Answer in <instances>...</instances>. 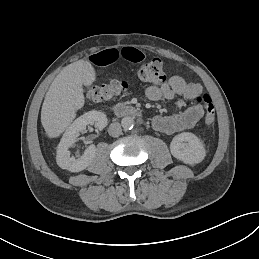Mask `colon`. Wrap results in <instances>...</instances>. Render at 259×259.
I'll return each instance as SVG.
<instances>
[{
  "label": "colon",
  "mask_w": 259,
  "mask_h": 259,
  "mask_svg": "<svg viewBox=\"0 0 259 259\" xmlns=\"http://www.w3.org/2000/svg\"><path fill=\"white\" fill-rule=\"evenodd\" d=\"M139 79L147 84H160L165 80L163 63L155 58L142 65L138 71ZM127 87V83L121 80H115L106 84L92 86L86 90V95L93 101H107L117 96ZM197 102L202 104L205 109L204 123L210 127L215 121V112L212 100L208 94H202L197 98Z\"/></svg>",
  "instance_id": "colon-1"
}]
</instances>
